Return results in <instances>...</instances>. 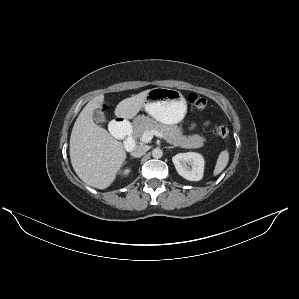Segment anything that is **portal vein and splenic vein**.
Returning <instances> with one entry per match:
<instances>
[{
  "mask_svg": "<svg viewBox=\"0 0 299 299\" xmlns=\"http://www.w3.org/2000/svg\"><path fill=\"white\" fill-rule=\"evenodd\" d=\"M153 136H157L158 138H164L163 134L157 130L145 131L141 136V142L148 143L152 140Z\"/></svg>",
  "mask_w": 299,
  "mask_h": 299,
  "instance_id": "1",
  "label": "portal vein and splenic vein"
}]
</instances>
